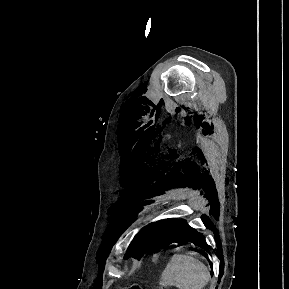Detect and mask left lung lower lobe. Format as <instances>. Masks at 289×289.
I'll return each mask as SVG.
<instances>
[{
    "label": "left lung lower lobe",
    "mask_w": 289,
    "mask_h": 289,
    "mask_svg": "<svg viewBox=\"0 0 289 289\" xmlns=\"http://www.w3.org/2000/svg\"><path fill=\"white\" fill-rule=\"evenodd\" d=\"M166 224V244L171 242L183 243L192 242L193 244L208 251L204 237L191 228L185 220L169 219Z\"/></svg>",
    "instance_id": "0a47b994"
}]
</instances>
